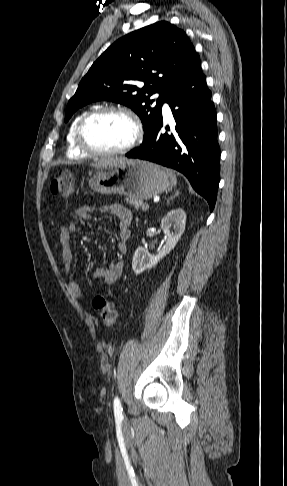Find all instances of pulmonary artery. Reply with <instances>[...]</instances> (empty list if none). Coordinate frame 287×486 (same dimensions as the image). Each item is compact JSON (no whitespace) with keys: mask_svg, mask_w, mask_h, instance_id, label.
I'll return each mask as SVG.
<instances>
[{"mask_svg":"<svg viewBox=\"0 0 287 486\" xmlns=\"http://www.w3.org/2000/svg\"><path fill=\"white\" fill-rule=\"evenodd\" d=\"M163 111H164V113L167 117H170V108H169L168 104H166V103L164 104Z\"/></svg>","mask_w":287,"mask_h":486,"instance_id":"1","label":"pulmonary artery"}]
</instances>
